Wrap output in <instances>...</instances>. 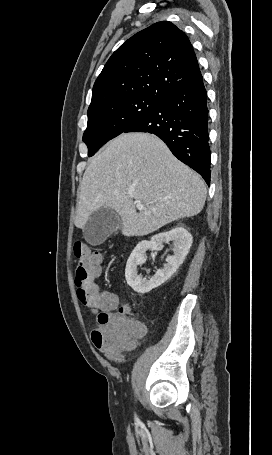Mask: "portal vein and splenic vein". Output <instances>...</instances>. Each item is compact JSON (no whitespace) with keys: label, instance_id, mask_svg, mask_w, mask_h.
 Listing matches in <instances>:
<instances>
[{"label":"portal vein and splenic vein","instance_id":"portal-vein-and-splenic-vein-1","mask_svg":"<svg viewBox=\"0 0 272 455\" xmlns=\"http://www.w3.org/2000/svg\"><path fill=\"white\" fill-rule=\"evenodd\" d=\"M129 196L131 198H133L134 197V192H129ZM136 207L139 210L144 209V205L141 202H136Z\"/></svg>","mask_w":272,"mask_h":455}]
</instances>
